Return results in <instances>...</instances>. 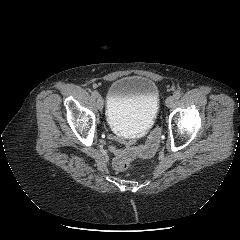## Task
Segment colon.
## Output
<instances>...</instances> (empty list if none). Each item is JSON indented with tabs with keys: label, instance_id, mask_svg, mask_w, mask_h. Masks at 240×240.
I'll return each mask as SVG.
<instances>
[{
	"label": "colon",
	"instance_id": "1",
	"mask_svg": "<svg viewBox=\"0 0 240 240\" xmlns=\"http://www.w3.org/2000/svg\"><path fill=\"white\" fill-rule=\"evenodd\" d=\"M161 136L160 127H156L149 135L146 143L140 146H130L122 150L114 159L113 165L117 171L129 168L132 160L136 157H150L158 149Z\"/></svg>",
	"mask_w": 240,
	"mask_h": 240
}]
</instances>
